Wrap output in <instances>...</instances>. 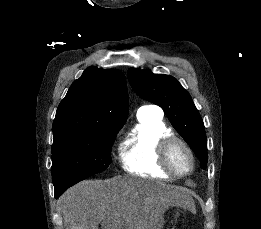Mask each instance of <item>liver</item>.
<instances>
[{
    "label": "liver",
    "instance_id": "liver-1",
    "mask_svg": "<svg viewBox=\"0 0 261 229\" xmlns=\"http://www.w3.org/2000/svg\"><path fill=\"white\" fill-rule=\"evenodd\" d=\"M188 189L145 183L143 179L81 181L64 193L66 229H157L167 203L191 201Z\"/></svg>",
    "mask_w": 261,
    "mask_h": 229
}]
</instances>
